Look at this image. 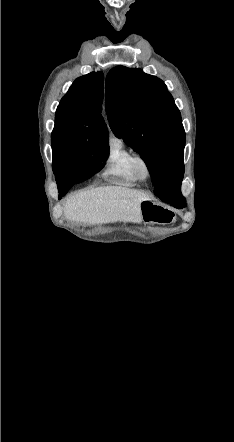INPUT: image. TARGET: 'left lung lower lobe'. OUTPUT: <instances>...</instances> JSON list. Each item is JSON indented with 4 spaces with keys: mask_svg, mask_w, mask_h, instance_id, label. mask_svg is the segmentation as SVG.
<instances>
[{
    "mask_svg": "<svg viewBox=\"0 0 234 442\" xmlns=\"http://www.w3.org/2000/svg\"><path fill=\"white\" fill-rule=\"evenodd\" d=\"M164 202L170 203L175 208H183L186 206V199L183 196H180L179 198L175 199H167V201Z\"/></svg>",
    "mask_w": 234,
    "mask_h": 442,
    "instance_id": "obj_1",
    "label": "left lung lower lobe"
}]
</instances>
